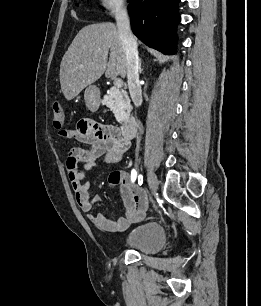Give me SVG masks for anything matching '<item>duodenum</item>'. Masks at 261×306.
Instances as JSON below:
<instances>
[{
	"label": "duodenum",
	"instance_id": "obj_1",
	"mask_svg": "<svg viewBox=\"0 0 261 306\" xmlns=\"http://www.w3.org/2000/svg\"><path fill=\"white\" fill-rule=\"evenodd\" d=\"M137 130V121L133 116L127 117L120 126V133L123 137L131 139Z\"/></svg>",
	"mask_w": 261,
	"mask_h": 306
}]
</instances>
